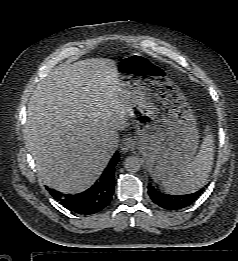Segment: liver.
Masks as SVG:
<instances>
[{"label": "liver", "mask_w": 238, "mask_h": 261, "mask_svg": "<svg viewBox=\"0 0 238 261\" xmlns=\"http://www.w3.org/2000/svg\"><path fill=\"white\" fill-rule=\"evenodd\" d=\"M116 62L106 58L60 65L36 86L24 139L44 183L65 194L88 189L102 174L130 117Z\"/></svg>", "instance_id": "6515ba94"}]
</instances>
